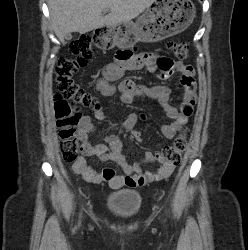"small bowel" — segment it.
Wrapping results in <instances>:
<instances>
[{"label": "small bowel", "instance_id": "c3829d8e", "mask_svg": "<svg viewBox=\"0 0 248 250\" xmlns=\"http://www.w3.org/2000/svg\"><path fill=\"white\" fill-rule=\"evenodd\" d=\"M145 69L151 73H156L161 79H168L173 71L181 74L180 82L183 88L182 103L180 108H176L169 103L171 90L167 86H150L146 84H137L130 79L120 80L122 74L129 70ZM194 68L190 64L182 62L173 63L168 58H164L156 53L142 52L131 55L128 58L108 64L101 78L97 81V90L103 97H112L119 94L121 102L125 104L132 103L137 98H148L158 101L165 113L171 119L170 123L161 126V133L166 139H172L187 121V108H191L196 101ZM119 81L118 84L115 82ZM93 116L98 121H106L108 118L102 109L98 106L93 109ZM138 121L136 114H129L126 119L120 123L121 128L126 131H132ZM95 127L89 115L80 119L78 125V137L82 143L83 157L78 163L73 164L75 173L91 183L107 182L112 188L119 189L124 186L136 187L145 185L147 182L159 181L171 175L174 166L169 164L160 152H147L145 162H158L160 164L157 172H142L139 164L130 165L122 154V142L118 135L111 134L104 138L99 144H93L90 141V135ZM133 134V133H132ZM98 156L105 161H113L118 164L124 174L117 175L113 169L107 168L102 171H96L89 166L84 157Z\"/></svg>", "mask_w": 248, "mask_h": 250}]
</instances>
